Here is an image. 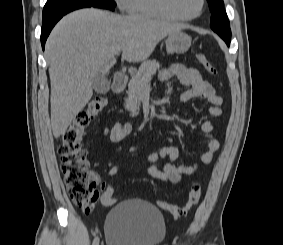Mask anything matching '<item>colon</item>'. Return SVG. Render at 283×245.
<instances>
[{
  "instance_id": "obj_1",
  "label": "colon",
  "mask_w": 283,
  "mask_h": 245,
  "mask_svg": "<svg viewBox=\"0 0 283 245\" xmlns=\"http://www.w3.org/2000/svg\"><path fill=\"white\" fill-rule=\"evenodd\" d=\"M196 57L209 74H217L215 67L203 54H197ZM106 105L107 100L103 97L93 99L84 110L76 115L62 134L58 147L60 167L68 195L73 203L85 212L92 211L99 201L104 206H112L116 202L113 187L102 186V191L98 189L97 182L88 171L87 154L82 147V140L87 128ZM201 197V186L195 183L192 185L184 205H174L164 200L158 201V205L174 218H182L200 202Z\"/></svg>"
}]
</instances>
